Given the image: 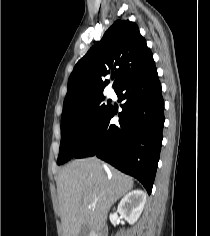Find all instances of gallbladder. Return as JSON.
Wrapping results in <instances>:
<instances>
[{"label":"gallbladder","instance_id":"1","mask_svg":"<svg viewBox=\"0 0 210 236\" xmlns=\"http://www.w3.org/2000/svg\"><path fill=\"white\" fill-rule=\"evenodd\" d=\"M89 227L87 225L83 226L78 234V236H88Z\"/></svg>","mask_w":210,"mask_h":236}]
</instances>
